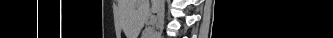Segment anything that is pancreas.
I'll return each instance as SVG.
<instances>
[{
	"label": "pancreas",
	"mask_w": 333,
	"mask_h": 38,
	"mask_svg": "<svg viewBox=\"0 0 333 38\" xmlns=\"http://www.w3.org/2000/svg\"><path fill=\"white\" fill-rule=\"evenodd\" d=\"M152 35H155L154 27L148 28L145 32L146 38H152Z\"/></svg>",
	"instance_id": "cf45deb5"
}]
</instances>
